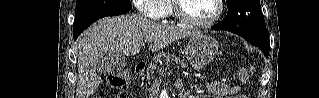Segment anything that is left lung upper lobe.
<instances>
[{"mask_svg":"<svg viewBox=\"0 0 319 98\" xmlns=\"http://www.w3.org/2000/svg\"><path fill=\"white\" fill-rule=\"evenodd\" d=\"M228 14L217 26L242 37L269 40L259 0H226Z\"/></svg>","mask_w":319,"mask_h":98,"instance_id":"5c2ea615","label":"left lung upper lobe"}]
</instances>
